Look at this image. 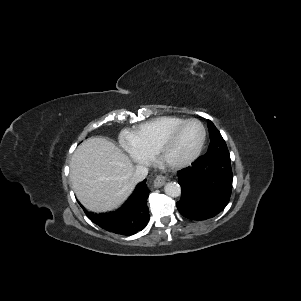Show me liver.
<instances>
[{"instance_id": "6515ba94", "label": "liver", "mask_w": 301, "mask_h": 301, "mask_svg": "<svg viewBox=\"0 0 301 301\" xmlns=\"http://www.w3.org/2000/svg\"><path fill=\"white\" fill-rule=\"evenodd\" d=\"M70 181L78 200L94 212L118 208L135 183L131 160L105 138H89L72 155Z\"/></svg>"}]
</instances>
